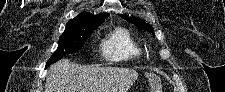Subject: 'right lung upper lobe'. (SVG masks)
Here are the masks:
<instances>
[{
	"label": "right lung upper lobe",
	"instance_id": "right-lung-upper-lobe-1",
	"mask_svg": "<svg viewBox=\"0 0 225 92\" xmlns=\"http://www.w3.org/2000/svg\"><path fill=\"white\" fill-rule=\"evenodd\" d=\"M108 17L107 13H100L98 15H94L91 13L83 12L76 16L74 19L69 20L66 24L65 30L76 29L88 24H92L101 20H104Z\"/></svg>",
	"mask_w": 225,
	"mask_h": 92
}]
</instances>
